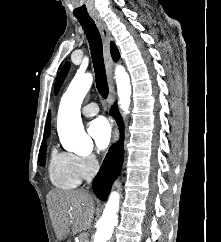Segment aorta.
I'll use <instances>...</instances> for the list:
<instances>
[{
	"label": "aorta",
	"instance_id": "762f6f07",
	"mask_svg": "<svg viewBox=\"0 0 221 242\" xmlns=\"http://www.w3.org/2000/svg\"><path fill=\"white\" fill-rule=\"evenodd\" d=\"M117 94L120 108L124 113L129 112L132 88L130 78L123 66L118 65L115 70ZM93 82L92 74H77L64 93L58 110L57 129L68 149L75 153H83L92 149V140L85 133L81 120L80 109L84 97ZM120 195L113 191L106 203L103 215L98 222L94 242H108L117 225Z\"/></svg>",
	"mask_w": 221,
	"mask_h": 242
}]
</instances>
